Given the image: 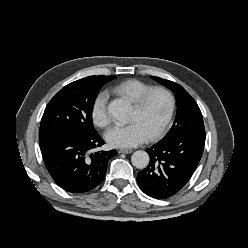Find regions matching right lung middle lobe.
<instances>
[{"label": "right lung middle lobe", "mask_w": 248, "mask_h": 248, "mask_svg": "<svg viewBox=\"0 0 248 248\" xmlns=\"http://www.w3.org/2000/svg\"><path fill=\"white\" fill-rule=\"evenodd\" d=\"M106 82L83 78L63 87L48 103L41 119L39 144L63 133L93 134L92 108Z\"/></svg>", "instance_id": "1"}]
</instances>
